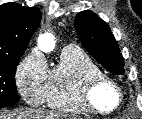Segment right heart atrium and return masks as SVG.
<instances>
[{
  "label": "right heart atrium",
  "instance_id": "right-heart-atrium-1",
  "mask_svg": "<svg viewBox=\"0 0 142 119\" xmlns=\"http://www.w3.org/2000/svg\"><path fill=\"white\" fill-rule=\"evenodd\" d=\"M48 72L47 62L37 50L25 55L17 66L15 85L19 95L28 105L38 106L43 103Z\"/></svg>",
  "mask_w": 142,
  "mask_h": 119
}]
</instances>
